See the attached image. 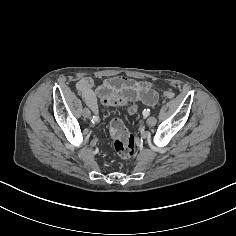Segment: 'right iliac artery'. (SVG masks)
<instances>
[{"instance_id": "right-iliac-artery-1", "label": "right iliac artery", "mask_w": 236, "mask_h": 236, "mask_svg": "<svg viewBox=\"0 0 236 236\" xmlns=\"http://www.w3.org/2000/svg\"><path fill=\"white\" fill-rule=\"evenodd\" d=\"M92 122H93V123L99 122V117H98V116H93Z\"/></svg>"}]
</instances>
